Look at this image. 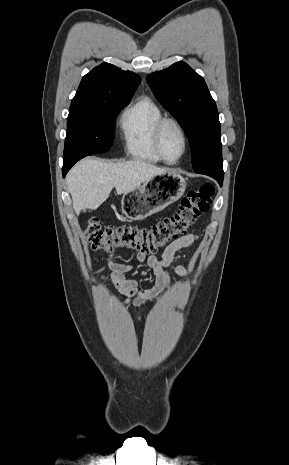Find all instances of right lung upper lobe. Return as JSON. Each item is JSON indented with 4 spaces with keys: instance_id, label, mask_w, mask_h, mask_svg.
Returning <instances> with one entry per match:
<instances>
[{
    "instance_id": "cb5924a9",
    "label": "right lung upper lobe",
    "mask_w": 289,
    "mask_h": 465,
    "mask_svg": "<svg viewBox=\"0 0 289 465\" xmlns=\"http://www.w3.org/2000/svg\"><path fill=\"white\" fill-rule=\"evenodd\" d=\"M141 78L103 63L86 74L72 99L68 118L93 116L97 108L113 101L130 100Z\"/></svg>"
}]
</instances>
